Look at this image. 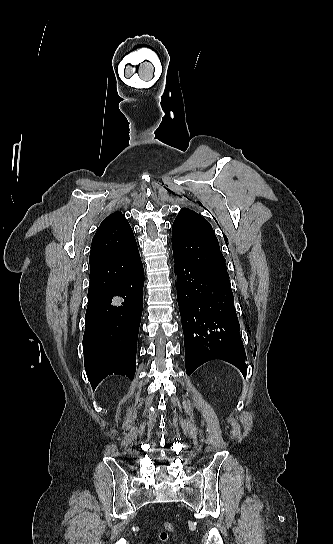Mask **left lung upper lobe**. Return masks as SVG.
Here are the masks:
<instances>
[{
	"label": "left lung upper lobe",
	"instance_id": "left-lung-upper-lobe-1",
	"mask_svg": "<svg viewBox=\"0 0 333 544\" xmlns=\"http://www.w3.org/2000/svg\"><path fill=\"white\" fill-rule=\"evenodd\" d=\"M173 253L207 270L231 290L226 260L212 226L196 212L182 208L172 226Z\"/></svg>",
	"mask_w": 333,
	"mask_h": 544
}]
</instances>
